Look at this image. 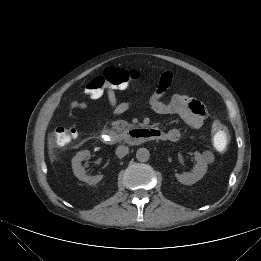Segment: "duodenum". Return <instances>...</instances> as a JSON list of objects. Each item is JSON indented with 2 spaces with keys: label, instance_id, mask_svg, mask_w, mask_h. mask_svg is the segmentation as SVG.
I'll return each mask as SVG.
<instances>
[{
  "label": "duodenum",
  "instance_id": "obj_1",
  "mask_svg": "<svg viewBox=\"0 0 261 261\" xmlns=\"http://www.w3.org/2000/svg\"><path fill=\"white\" fill-rule=\"evenodd\" d=\"M161 138V134L155 129H131L125 135H120L114 129L107 127L101 132V139L106 144H112L123 139L128 144L138 145Z\"/></svg>",
  "mask_w": 261,
  "mask_h": 261
}]
</instances>
